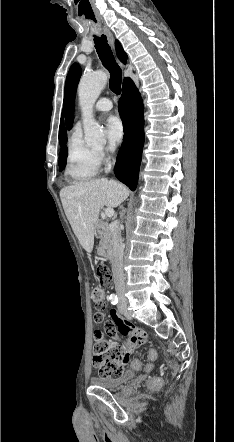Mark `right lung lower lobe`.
<instances>
[{
  "instance_id": "right-lung-lower-lobe-1",
  "label": "right lung lower lobe",
  "mask_w": 234,
  "mask_h": 442,
  "mask_svg": "<svg viewBox=\"0 0 234 442\" xmlns=\"http://www.w3.org/2000/svg\"><path fill=\"white\" fill-rule=\"evenodd\" d=\"M118 107L123 120L124 137L114 173L118 180L134 191L137 186L144 144V118L142 99L130 78L124 79Z\"/></svg>"
}]
</instances>
